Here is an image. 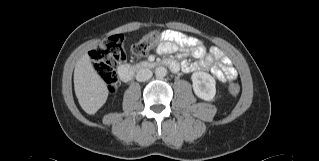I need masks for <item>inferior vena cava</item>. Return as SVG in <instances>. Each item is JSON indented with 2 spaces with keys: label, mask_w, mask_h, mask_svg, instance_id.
<instances>
[{
  "label": "inferior vena cava",
  "mask_w": 319,
  "mask_h": 161,
  "mask_svg": "<svg viewBox=\"0 0 319 161\" xmlns=\"http://www.w3.org/2000/svg\"><path fill=\"white\" fill-rule=\"evenodd\" d=\"M152 71L147 68L140 69L136 74V80L139 82H144L152 77Z\"/></svg>",
  "instance_id": "1"
}]
</instances>
